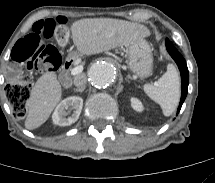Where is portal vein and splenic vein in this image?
<instances>
[{
    "label": "portal vein and splenic vein",
    "mask_w": 215,
    "mask_h": 183,
    "mask_svg": "<svg viewBox=\"0 0 215 183\" xmlns=\"http://www.w3.org/2000/svg\"><path fill=\"white\" fill-rule=\"evenodd\" d=\"M82 71H83V66L82 65L76 66L73 69H71V75H73V76L78 75Z\"/></svg>",
    "instance_id": "1"
}]
</instances>
